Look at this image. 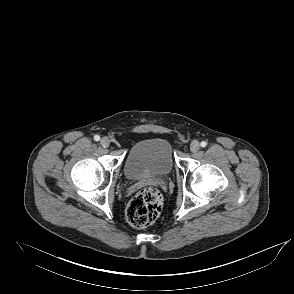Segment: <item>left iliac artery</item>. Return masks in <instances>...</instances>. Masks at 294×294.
<instances>
[{"label":"left iliac artery","mask_w":294,"mask_h":294,"mask_svg":"<svg viewBox=\"0 0 294 294\" xmlns=\"http://www.w3.org/2000/svg\"><path fill=\"white\" fill-rule=\"evenodd\" d=\"M200 145H201V147H206V145H207V142H205V141H202Z\"/></svg>","instance_id":"left-iliac-artery-1"}]
</instances>
